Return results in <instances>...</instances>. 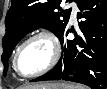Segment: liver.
Wrapping results in <instances>:
<instances>
[{
	"instance_id": "1",
	"label": "liver",
	"mask_w": 107,
	"mask_h": 89,
	"mask_svg": "<svg viewBox=\"0 0 107 89\" xmlns=\"http://www.w3.org/2000/svg\"><path fill=\"white\" fill-rule=\"evenodd\" d=\"M45 85H52L55 88L60 87V85H58V84H36V85L29 86L28 89H30V88L44 89L42 87Z\"/></svg>"
}]
</instances>
